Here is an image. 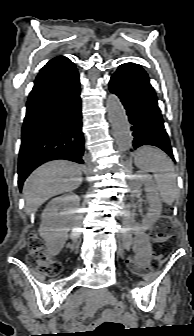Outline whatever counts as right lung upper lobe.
Wrapping results in <instances>:
<instances>
[{"instance_id":"1","label":"right lung upper lobe","mask_w":194,"mask_h":336,"mask_svg":"<svg viewBox=\"0 0 194 336\" xmlns=\"http://www.w3.org/2000/svg\"><path fill=\"white\" fill-rule=\"evenodd\" d=\"M67 62H70V60L64 56H59V57H56L54 59H52L51 61H49L40 71L43 72L45 70H48L50 68H53V67H56V66H59L61 64H64V63H67Z\"/></svg>"}]
</instances>
